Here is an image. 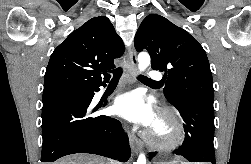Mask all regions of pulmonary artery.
<instances>
[{
    "label": "pulmonary artery",
    "mask_w": 251,
    "mask_h": 164,
    "mask_svg": "<svg viewBox=\"0 0 251 164\" xmlns=\"http://www.w3.org/2000/svg\"><path fill=\"white\" fill-rule=\"evenodd\" d=\"M151 80L154 81H158L162 79V75L161 73H159L158 71H151L149 72V76H148ZM104 91V89L101 90V93Z\"/></svg>",
    "instance_id": "obj_1"
}]
</instances>
